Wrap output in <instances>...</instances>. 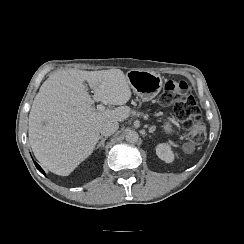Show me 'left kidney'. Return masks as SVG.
I'll list each match as a JSON object with an SVG mask.
<instances>
[{"instance_id":"obj_1","label":"left kidney","mask_w":244,"mask_h":244,"mask_svg":"<svg viewBox=\"0 0 244 244\" xmlns=\"http://www.w3.org/2000/svg\"><path fill=\"white\" fill-rule=\"evenodd\" d=\"M156 153L157 156L165 162H171L173 160V154L168 145L165 144L158 145L156 147Z\"/></svg>"}]
</instances>
